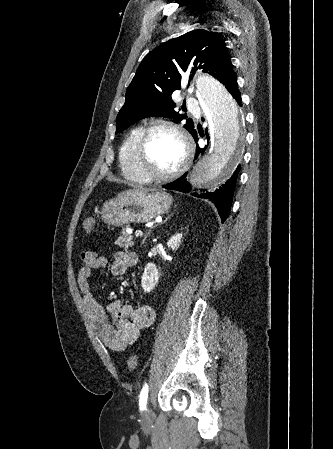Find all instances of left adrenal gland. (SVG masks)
I'll use <instances>...</instances> for the list:
<instances>
[{
	"label": "left adrenal gland",
	"mask_w": 333,
	"mask_h": 449,
	"mask_svg": "<svg viewBox=\"0 0 333 449\" xmlns=\"http://www.w3.org/2000/svg\"><path fill=\"white\" fill-rule=\"evenodd\" d=\"M173 214H174V213H171L169 216H167V218L164 220V222H167V220H169V219L173 216ZM150 232H151V231H149V232L147 233V235L144 237V239H143V241H142V244L145 243V241H146L147 237L149 236Z\"/></svg>",
	"instance_id": "1"
}]
</instances>
